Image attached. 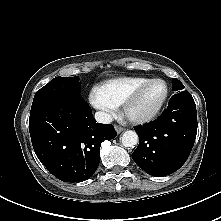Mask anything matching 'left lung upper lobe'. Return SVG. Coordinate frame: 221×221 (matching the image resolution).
<instances>
[{
    "label": "left lung upper lobe",
    "mask_w": 221,
    "mask_h": 221,
    "mask_svg": "<svg viewBox=\"0 0 221 221\" xmlns=\"http://www.w3.org/2000/svg\"><path fill=\"white\" fill-rule=\"evenodd\" d=\"M184 85L176 78L173 79V86H172V90L173 91H178L179 93L175 94L174 96H172V98L181 96L183 94L189 93L187 90L183 91Z\"/></svg>",
    "instance_id": "1"
}]
</instances>
